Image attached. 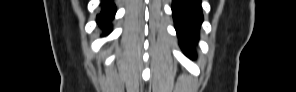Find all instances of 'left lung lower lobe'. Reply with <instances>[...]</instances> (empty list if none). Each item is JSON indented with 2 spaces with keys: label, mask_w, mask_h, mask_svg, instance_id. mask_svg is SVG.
Masks as SVG:
<instances>
[{
  "label": "left lung lower lobe",
  "mask_w": 296,
  "mask_h": 92,
  "mask_svg": "<svg viewBox=\"0 0 296 92\" xmlns=\"http://www.w3.org/2000/svg\"><path fill=\"white\" fill-rule=\"evenodd\" d=\"M172 13L180 45L193 58L191 46L199 39V28L203 21L201 0H173Z\"/></svg>",
  "instance_id": "1"
}]
</instances>
